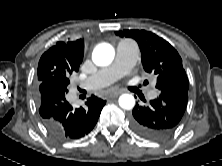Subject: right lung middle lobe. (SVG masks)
Instances as JSON below:
<instances>
[{
	"instance_id": "right-lung-middle-lobe-1",
	"label": "right lung middle lobe",
	"mask_w": 222,
	"mask_h": 166,
	"mask_svg": "<svg viewBox=\"0 0 222 166\" xmlns=\"http://www.w3.org/2000/svg\"><path fill=\"white\" fill-rule=\"evenodd\" d=\"M81 62L65 57L41 58L38 64V82L55 81L67 87L70 75L78 71Z\"/></svg>"
}]
</instances>
